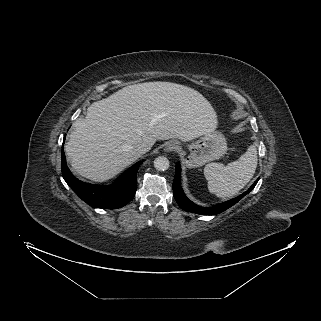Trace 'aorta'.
I'll return each instance as SVG.
<instances>
[{"mask_svg":"<svg viewBox=\"0 0 321 321\" xmlns=\"http://www.w3.org/2000/svg\"><path fill=\"white\" fill-rule=\"evenodd\" d=\"M169 166L170 162L167 157L159 156L154 160V167L159 171H165Z\"/></svg>","mask_w":321,"mask_h":321,"instance_id":"aorta-1","label":"aorta"}]
</instances>
